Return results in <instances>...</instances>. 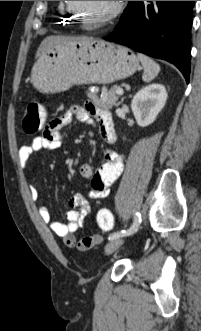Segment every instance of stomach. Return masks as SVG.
Returning a JSON list of instances; mask_svg holds the SVG:
<instances>
[{"mask_svg":"<svg viewBox=\"0 0 201 331\" xmlns=\"http://www.w3.org/2000/svg\"><path fill=\"white\" fill-rule=\"evenodd\" d=\"M139 68L127 47L86 38L59 43L45 51L32 68V83L42 93L63 92L78 84H110Z\"/></svg>","mask_w":201,"mask_h":331,"instance_id":"obj_1","label":"stomach"}]
</instances>
